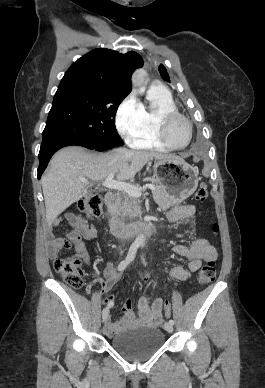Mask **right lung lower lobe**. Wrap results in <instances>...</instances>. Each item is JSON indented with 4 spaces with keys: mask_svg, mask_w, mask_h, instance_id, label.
I'll return each instance as SVG.
<instances>
[{
    "mask_svg": "<svg viewBox=\"0 0 265 388\" xmlns=\"http://www.w3.org/2000/svg\"><path fill=\"white\" fill-rule=\"evenodd\" d=\"M69 145H78V146H83L88 149H95L97 151H104L106 148H97L94 147L87 142L76 139V138H58L51 140L46 143H42L40 147V152H39V167H38V179L41 178V175L45 168L47 167V164L52 157V155L59 150L62 147L69 146Z\"/></svg>",
    "mask_w": 265,
    "mask_h": 388,
    "instance_id": "right-lung-lower-lobe-1",
    "label": "right lung lower lobe"
}]
</instances>
